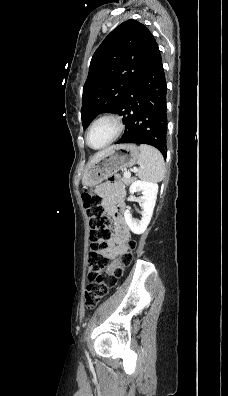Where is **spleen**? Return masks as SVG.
Here are the masks:
<instances>
[{
    "mask_svg": "<svg viewBox=\"0 0 228 396\" xmlns=\"http://www.w3.org/2000/svg\"><path fill=\"white\" fill-rule=\"evenodd\" d=\"M139 148L138 177L145 181H162L165 173L162 154L153 146L141 144Z\"/></svg>",
    "mask_w": 228,
    "mask_h": 396,
    "instance_id": "spleen-1",
    "label": "spleen"
}]
</instances>
